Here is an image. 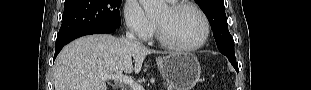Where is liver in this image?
<instances>
[{
	"label": "liver",
	"instance_id": "liver-1",
	"mask_svg": "<svg viewBox=\"0 0 311 90\" xmlns=\"http://www.w3.org/2000/svg\"><path fill=\"white\" fill-rule=\"evenodd\" d=\"M155 52L137 41L111 35L78 38L65 46L56 58L55 90H107L102 74L117 71L137 74L145 57Z\"/></svg>",
	"mask_w": 311,
	"mask_h": 90
}]
</instances>
